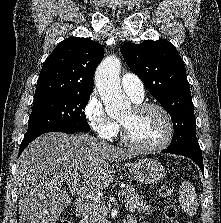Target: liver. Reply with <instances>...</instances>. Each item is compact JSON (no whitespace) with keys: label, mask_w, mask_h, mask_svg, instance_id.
I'll return each instance as SVG.
<instances>
[{"label":"liver","mask_w":221,"mask_h":223,"mask_svg":"<svg viewBox=\"0 0 221 223\" xmlns=\"http://www.w3.org/2000/svg\"><path fill=\"white\" fill-rule=\"evenodd\" d=\"M137 152L88 134L47 133L31 142L17 161L15 182L20 223H56L72 199L63 188L85 186L97 192L114 180L113 160Z\"/></svg>","instance_id":"obj_1"}]
</instances>
